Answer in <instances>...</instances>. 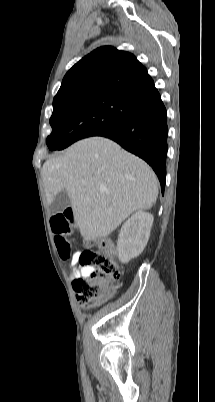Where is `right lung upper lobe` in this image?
I'll list each match as a JSON object with an SVG mask.
<instances>
[{"mask_svg":"<svg viewBox=\"0 0 215 402\" xmlns=\"http://www.w3.org/2000/svg\"><path fill=\"white\" fill-rule=\"evenodd\" d=\"M94 93L118 95L136 103L159 94L136 57L111 46L100 47L77 62L64 76L54 100Z\"/></svg>","mask_w":215,"mask_h":402,"instance_id":"right-lung-upper-lobe-1","label":"right lung upper lobe"}]
</instances>
